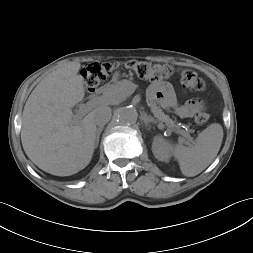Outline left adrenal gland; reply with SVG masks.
Returning a JSON list of instances; mask_svg holds the SVG:
<instances>
[{"instance_id": "1", "label": "left adrenal gland", "mask_w": 253, "mask_h": 253, "mask_svg": "<svg viewBox=\"0 0 253 253\" xmlns=\"http://www.w3.org/2000/svg\"><path fill=\"white\" fill-rule=\"evenodd\" d=\"M142 119H143V121L145 123V126L148 127V129H150L149 128L150 123L156 124V121L152 117H150V116H148L146 114L143 115Z\"/></svg>"}]
</instances>
